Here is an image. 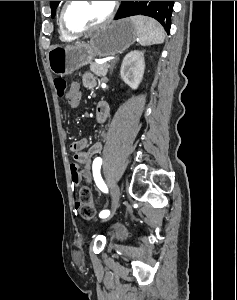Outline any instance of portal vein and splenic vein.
<instances>
[{
  "mask_svg": "<svg viewBox=\"0 0 237 300\" xmlns=\"http://www.w3.org/2000/svg\"><path fill=\"white\" fill-rule=\"evenodd\" d=\"M107 64V65H106ZM106 64H104L102 67L104 68V69H108V68H110V65H108L109 63L107 62Z\"/></svg>",
  "mask_w": 237,
  "mask_h": 300,
  "instance_id": "18ae733b",
  "label": "portal vein and splenic vein"
}]
</instances>
